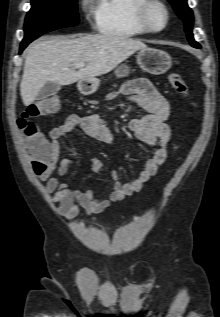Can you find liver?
Segmentation results:
<instances>
[{
  "instance_id": "6515ba94",
  "label": "liver",
  "mask_w": 220,
  "mask_h": 317,
  "mask_svg": "<svg viewBox=\"0 0 220 317\" xmlns=\"http://www.w3.org/2000/svg\"><path fill=\"white\" fill-rule=\"evenodd\" d=\"M143 42L114 35H85L79 38L54 37L32 44L25 57L20 94L25 106L34 102L47 82L70 85L104 75L136 51ZM77 63L86 66L75 70Z\"/></svg>"
}]
</instances>
